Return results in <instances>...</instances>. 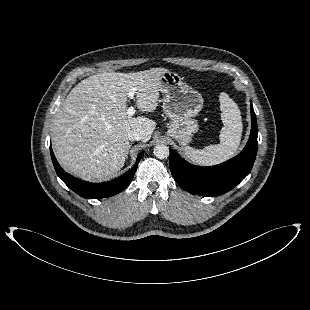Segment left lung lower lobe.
Here are the masks:
<instances>
[{"mask_svg": "<svg viewBox=\"0 0 310 310\" xmlns=\"http://www.w3.org/2000/svg\"><path fill=\"white\" fill-rule=\"evenodd\" d=\"M251 133L245 148L234 158L215 166L199 167L170 149L169 166L175 181L187 192L219 196L237 186L251 171L257 153V121L251 103Z\"/></svg>", "mask_w": 310, "mask_h": 310, "instance_id": "left-lung-lower-lobe-1", "label": "left lung lower lobe"}]
</instances>
